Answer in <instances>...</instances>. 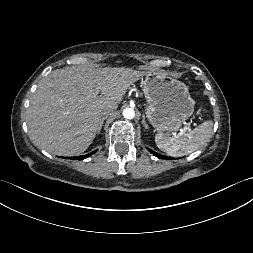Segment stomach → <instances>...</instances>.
Returning <instances> with one entry per match:
<instances>
[{"label":"stomach","mask_w":253,"mask_h":253,"mask_svg":"<svg viewBox=\"0 0 253 253\" xmlns=\"http://www.w3.org/2000/svg\"><path fill=\"white\" fill-rule=\"evenodd\" d=\"M144 76L145 114L150 124L162 133L179 129L194 112L188 87L165 73L148 71Z\"/></svg>","instance_id":"1"}]
</instances>
